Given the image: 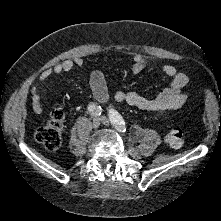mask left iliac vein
Wrapping results in <instances>:
<instances>
[{"label":"left iliac vein","instance_id":"left-iliac-vein-1","mask_svg":"<svg viewBox=\"0 0 221 221\" xmlns=\"http://www.w3.org/2000/svg\"><path fill=\"white\" fill-rule=\"evenodd\" d=\"M100 120H101L102 124H104V125H106V126H108V125L110 124L109 119H108L107 117H105V116H102V117L100 118ZM116 129H117V128H116ZM117 130H118V129H117Z\"/></svg>","mask_w":221,"mask_h":221}]
</instances>
